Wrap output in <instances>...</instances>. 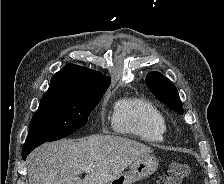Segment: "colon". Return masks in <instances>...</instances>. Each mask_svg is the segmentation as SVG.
I'll return each instance as SVG.
<instances>
[{"instance_id":"5ec220e1","label":"colon","mask_w":224,"mask_h":184,"mask_svg":"<svg viewBox=\"0 0 224 184\" xmlns=\"http://www.w3.org/2000/svg\"><path fill=\"white\" fill-rule=\"evenodd\" d=\"M190 173V166L184 162H172L168 169L162 173L157 184H183Z\"/></svg>"}]
</instances>
